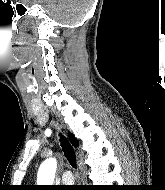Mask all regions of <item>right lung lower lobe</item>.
I'll use <instances>...</instances> for the list:
<instances>
[{
    "mask_svg": "<svg viewBox=\"0 0 165 190\" xmlns=\"http://www.w3.org/2000/svg\"><path fill=\"white\" fill-rule=\"evenodd\" d=\"M81 190H95V188H93L92 186L84 185L81 186Z\"/></svg>",
    "mask_w": 165,
    "mask_h": 190,
    "instance_id": "1",
    "label": "right lung lower lobe"
}]
</instances>
